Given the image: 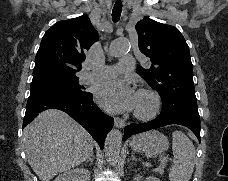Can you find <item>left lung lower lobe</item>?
Wrapping results in <instances>:
<instances>
[{"mask_svg":"<svg viewBox=\"0 0 228 181\" xmlns=\"http://www.w3.org/2000/svg\"><path fill=\"white\" fill-rule=\"evenodd\" d=\"M170 124H178V125L191 128L200 139V122L193 121V120H186V119H177V120L162 119L158 116L156 119L149 121L147 123H139V124L131 123L130 125L126 126L125 136L123 140L125 141L128 137L134 134L145 132L151 129H156Z\"/></svg>","mask_w":228,"mask_h":181,"instance_id":"1","label":"left lung lower lobe"}]
</instances>
